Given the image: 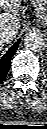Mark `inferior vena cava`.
Listing matches in <instances>:
<instances>
[{"label":"inferior vena cava","mask_w":47,"mask_h":129,"mask_svg":"<svg viewBox=\"0 0 47 129\" xmlns=\"http://www.w3.org/2000/svg\"><path fill=\"white\" fill-rule=\"evenodd\" d=\"M15 33L13 31H10L8 29H3L0 31V40L4 42H10L14 40Z\"/></svg>","instance_id":"602c4592"}]
</instances>
